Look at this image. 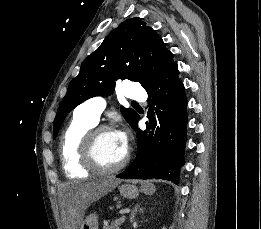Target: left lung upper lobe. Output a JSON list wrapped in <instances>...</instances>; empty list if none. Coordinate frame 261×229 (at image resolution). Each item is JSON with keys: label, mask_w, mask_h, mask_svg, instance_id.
<instances>
[{"label": "left lung upper lobe", "mask_w": 261, "mask_h": 229, "mask_svg": "<svg viewBox=\"0 0 261 229\" xmlns=\"http://www.w3.org/2000/svg\"><path fill=\"white\" fill-rule=\"evenodd\" d=\"M176 63L156 31L139 18L125 20L84 60L70 82L54 120L53 138L71 110L91 97L111 95L118 79L138 81L146 88ZM121 113L132 127L137 113L124 107Z\"/></svg>", "instance_id": "left-lung-upper-lobe-1"}]
</instances>
